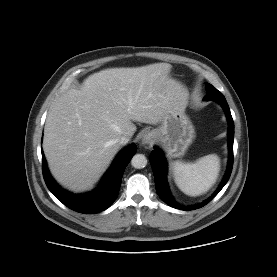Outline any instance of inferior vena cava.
I'll return each instance as SVG.
<instances>
[{"label":"inferior vena cava","mask_w":277,"mask_h":277,"mask_svg":"<svg viewBox=\"0 0 277 277\" xmlns=\"http://www.w3.org/2000/svg\"><path fill=\"white\" fill-rule=\"evenodd\" d=\"M130 140V138L128 136H121L119 139H118V143L120 145H125L128 143V141Z\"/></svg>","instance_id":"inferior-vena-cava-1"}]
</instances>
